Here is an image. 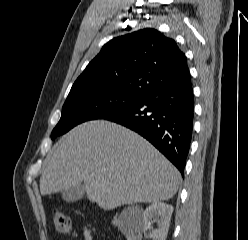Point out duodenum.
Segmentation results:
<instances>
[{"label": "duodenum", "instance_id": "obj_1", "mask_svg": "<svg viewBox=\"0 0 248 240\" xmlns=\"http://www.w3.org/2000/svg\"><path fill=\"white\" fill-rule=\"evenodd\" d=\"M116 224L120 227L122 226V222L120 220H116Z\"/></svg>", "mask_w": 248, "mask_h": 240}]
</instances>
